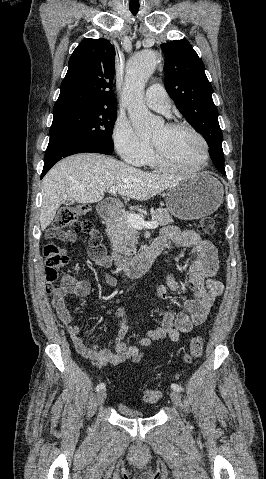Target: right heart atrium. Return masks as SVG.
Returning <instances> with one entry per match:
<instances>
[{
	"mask_svg": "<svg viewBox=\"0 0 266 479\" xmlns=\"http://www.w3.org/2000/svg\"><path fill=\"white\" fill-rule=\"evenodd\" d=\"M112 141L120 158L128 164L143 166L152 156L150 144L139 138L132 125L123 118L115 121Z\"/></svg>",
	"mask_w": 266,
	"mask_h": 479,
	"instance_id": "1",
	"label": "right heart atrium"
}]
</instances>
